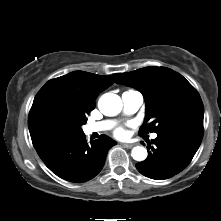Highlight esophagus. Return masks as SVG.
Instances as JSON below:
<instances>
[{"mask_svg":"<svg viewBox=\"0 0 221 221\" xmlns=\"http://www.w3.org/2000/svg\"><path fill=\"white\" fill-rule=\"evenodd\" d=\"M122 146L125 147V148H132V147L134 146V144H131V143H123Z\"/></svg>","mask_w":221,"mask_h":221,"instance_id":"34e87169","label":"esophagus"}]
</instances>
